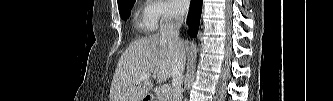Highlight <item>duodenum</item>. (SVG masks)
<instances>
[{"label":"duodenum","instance_id":"410a0bca","mask_svg":"<svg viewBox=\"0 0 333 101\" xmlns=\"http://www.w3.org/2000/svg\"><path fill=\"white\" fill-rule=\"evenodd\" d=\"M147 98H148L149 100H151V99H152V97H150V96H147Z\"/></svg>","mask_w":333,"mask_h":101}]
</instances>
